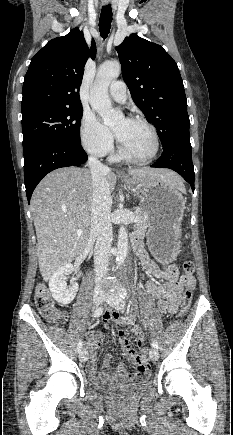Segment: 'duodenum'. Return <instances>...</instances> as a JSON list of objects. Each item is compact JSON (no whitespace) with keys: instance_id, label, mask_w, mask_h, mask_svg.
<instances>
[{"instance_id":"1","label":"duodenum","mask_w":233,"mask_h":435,"mask_svg":"<svg viewBox=\"0 0 233 435\" xmlns=\"http://www.w3.org/2000/svg\"><path fill=\"white\" fill-rule=\"evenodd\" d=\"M133 249H134V251H135L136 253L138 252V246H137V244H134Z\"/></svg>"}]
</instances>
